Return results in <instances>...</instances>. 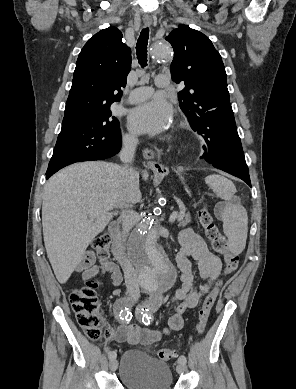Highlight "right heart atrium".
<instances>
[{
	"mask_svg": "<svg viewBox=\"0 0 296 389\" xmlns=\"http://www.w3.org/2000/svg\"><path fill=\"white\" fill-rule=\"evenodd\" d=\"M133 141H134V137L132 135L128 134L125 136L126 143L130 144V143H133Z\"/></svg>",
	"mask_w": 296,
	"mask_h": 389,
	"instance_id": "d8ad5b80",
	"label": "right heart atrium"
}]
</instances>
